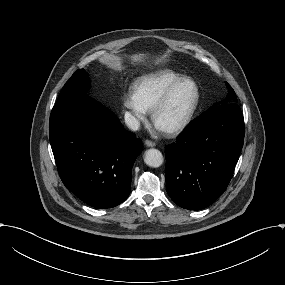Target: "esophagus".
<instances>
[{
	"instance_id": "esophagus-1",
	"label": "esophagus",
	"mask_w": 285,
	"mask_h": 285,
	"mask_svg": "<svg viewBox=\"0 0 285 285\" xmlns=\"http://www.w3.org/2000/svg\"><path fill=\"white\" fill-rule=\"evenodd\" d=\"M144 144L147 146V147H154L155 146V142H153L152 140H145Z\"/></svg>"
}]
</instances>
